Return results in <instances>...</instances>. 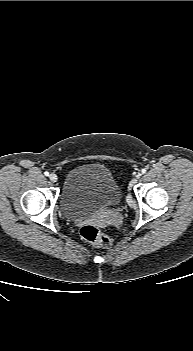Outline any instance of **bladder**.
<instances>
[{
	"instance_id": "31cf9c89",
	"label": "bladder",
	"mask_w": 193,
	"mask_h": 351,
	"mask_svg": "<svg viewBox=\"0 0 193 351\" xmlns=\"http://www.w3.org/2000/svg\"><path fill=\"white\" fill-rule=\"evenodd\" d=\"M121 197L120 186L112 172L102 164L88 163L67 173L60 207L67 219L78 220L117 206Z\"/></svg>"
}]
</instances>
